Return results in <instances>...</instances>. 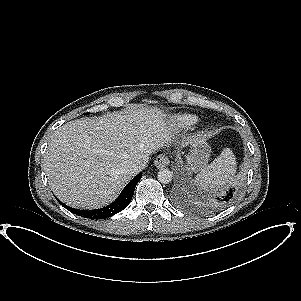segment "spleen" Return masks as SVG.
<instances>
[{
	"instance_id": "obj_1",
	"label": "spleen",
	"mask_w": 301,
	"mask_h": 301,
	"mask_svg": "<svg viewBox=\"0 0 301 301\" xmlns=\"http://www.w3.org/2000/svg\"><path fill=\"white\" fill-rule=\"evenodd\" d=\"M236 158L229 148L208 166H205L196 176L195 183L201 189H217L230 183L236 173Z\"/></svg>"
}]
</instances>
